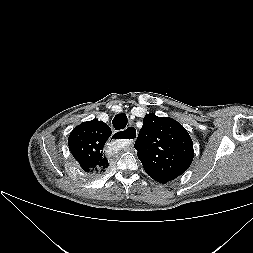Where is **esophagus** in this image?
Wrapping results in <instances>:
<instances>
[{"label":"esophagus","mask_w":253,"mask_h":253,"mask_svg":"<svg viewBox=\"0 0 253 253\" xmlns=\"http://www.w3.org/2000/svg\"><path fill=\"white\" fill-rule=\"evenodd\" d=\"M114 140L120 141L123 145H130L137 137V130L134 126H128L125 130L114 132Z\"/></svg>","instance_id":"34e87169"}]
</instances>
